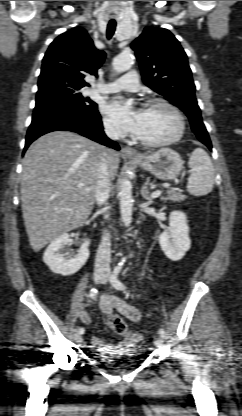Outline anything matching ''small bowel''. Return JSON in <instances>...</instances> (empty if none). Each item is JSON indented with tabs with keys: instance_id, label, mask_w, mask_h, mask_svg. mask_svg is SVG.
Masks as SVG:
<instances>
[{
	"instance_id": "1",
	"label": "small bowel",
	"mask_w": 242,
	"mask_h": 416,
	"mask_svg": "<svg viewBox=\"0 0 242 416\" xmlns=\"http://www.w3.org/2000/svg\"><path fill=\"white\" fill-rule=\"evenodd\" d=\"M99 304L102 312L106 315L116 311L131 321H138L141 318V312L136 307L113 294L101 295ZM79 319L84 324H90L92 321L90 314L84 308L79 311ZM91 345L99 352H107L112 347L97 336L91 338Z\"/></svg>"
}]
</instances>
